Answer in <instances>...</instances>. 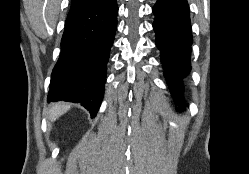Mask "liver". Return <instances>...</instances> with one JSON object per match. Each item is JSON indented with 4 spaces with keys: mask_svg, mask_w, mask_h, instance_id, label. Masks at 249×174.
I'll list each match as a JSON object with an SVG mask.
<instances>
[{
    "mask_svg": "<svg viewBox=\"0 0 249 174\" xmlns=\"http://www.w3.org/2000/svg\"><path fill=\"white\" fill-rule=\"evenodd\" d=\"M70 109V104L56 103L49 110V119L55 121Z\"/></svg>",
    "mask_w": 249,
    "mask_h": 174,
    "instance_id": "1",
    "label": "liver"
}]
</instances>
